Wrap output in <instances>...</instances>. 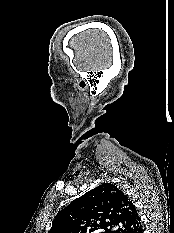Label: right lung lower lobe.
Wrapping results in <instances>:
<instances>
[{
  "label": "right lung lower lobe",
  "mask_w": 174,
  "mask_h": 233,
  "mask_svg": "<svg viewBox=\"0 0 174 233\" xmlns=\"http://www.w3.org/2000/svg\"><path fill=\"white\" fill-rule=\"evenodd\" d=\"M136 233H143L142 226L136 231Z\"/></svg>",
  "instance_id": "obj_1"
}]
</instances>
